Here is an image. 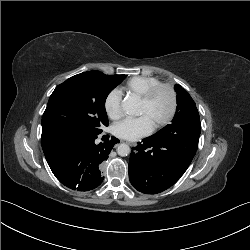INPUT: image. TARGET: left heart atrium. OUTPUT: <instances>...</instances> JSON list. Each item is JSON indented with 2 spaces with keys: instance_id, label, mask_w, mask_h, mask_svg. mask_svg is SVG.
I'll use <instances>...</instances> for the list:
<instances>
[{
  "instance_id": "1",
  "label": "left heart atrium",
  "mask_w": 250,
  "mask_h": 250,
  "mask_svg": "<svg viewBox=\"0 0 250 250\" xmlns=\"http://www.w3.org/2000/svg\"><path fill=\"white\" fill-rule=\"evenodd\" d=\"M153 124L146 115L126 118L113 126V133L122 139L137 140L151 133Z\"/></svg>"
}]
</instances>
